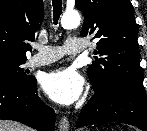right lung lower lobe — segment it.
<instances>
[{
	"label": "right lung lower lobe",
	"mask_w": 147,
	"mask_h": 131,
	"mask_svg": "<svg viewBox=\"0 0 147 131\" xmlns=\"http://www.w3.org/2000/svg\"><path fill=\"white\" fill-rule=\"evenodd\" d=\"M0 119L14 120L38 131H54L55 113L37 95L36 80L0 83Z\"/></svg>",
	"instance_id": "1"
}]
</instances>
